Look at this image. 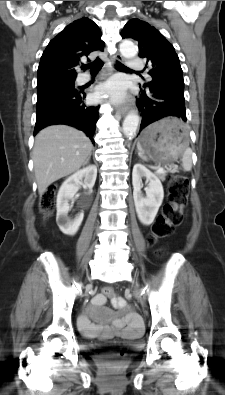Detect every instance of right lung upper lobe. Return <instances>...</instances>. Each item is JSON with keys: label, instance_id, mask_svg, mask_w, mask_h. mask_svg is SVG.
<instances>
[{"label": "right lung upper lobe", "instance_id": "obj_1", "mask_svg": "<svg viewBox=\"0 0 225 395\" xmlns=\"http://www.w3.org/2000/svg\"><path fill=\"white\" fill-rule=\"evenodd\" d=\"M101 31L84 17L65 27L44 50L38 67L37 87L75 80V68L82 56L103 51Z\"/></svg>", "mask_w": 225, "mask_h": 395}]
</instances>
